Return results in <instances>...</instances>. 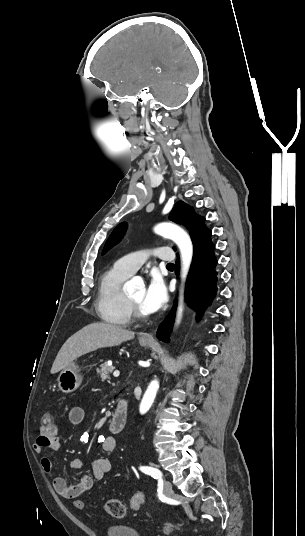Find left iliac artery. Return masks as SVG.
Segmentation results:
<instances>
[{
    "label": "left iliac artery",
    "instance_id": "obj_1",
    "mask_svg": "<svg viewBox=\"0 0 305 536\" xmlns=\"http://www.w3.org/2000/svg\"><path fill=\"white\" fill-rule=\"evenodd\" d=\"M140 470L145 474L151 475L154 479H157L160 483H162V473L160 470L147 466L140 467Z\"/></svg>",
    "mask_w": 305,
    "mask_h": 536
}]
</instances>
